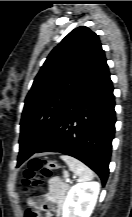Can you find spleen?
<instances>
[{"instance_id": "3e777b00", "label": "spleen", "mask_w": 132, "mask_h": 217, "mask_svg": "<svg viewBox=\"0 0 132 217\" xmlns=\"http://www.w3.org/2000/svg\"><path fill=\"white\" fill-rule=\"evenodd\" d=\"M60 158L68 165L69 169L79 177L80 182L93 179V171L80 160L68 155H62Z\"/></svg>"}]
</instances>
